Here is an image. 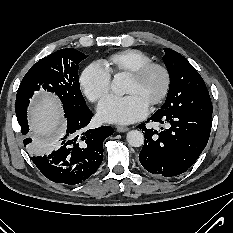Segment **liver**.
<instances>
[{"mask_svg":"<svg viewBox=\"0 0 233 233\" xmlns=\"http://www.w3.org/2000/svg\"><path fill=\"white\" fill-rule=\"evenodd\" d=\"M61 108L55 97L42 93L30 107V126L33 136L45 142L64 130Z\"/></svg>","mask_w":233,"mask_h":233,"instance_id":"6515ba94","label":"liver"}]
</instances>
